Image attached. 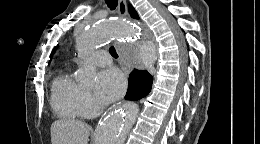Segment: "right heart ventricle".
<instances>
[{
    "label": "right heart ventricle",
    "mask_w": 260,
    "mask_h": 144,
    "mask_svg": "<svg viewBox=\"0 0 260 144\" xmlns=\"http://www.w3.org/2000/svg\"><path fill=\"white\" fill-rule=\"evenodd\" d=\"M83 88L71 75H58L52 84L51 105L58 116L65 119H77L85 116L81 95Z\"/></svg>",
    "instance_id": "1"
}]
</instances>
